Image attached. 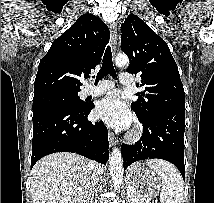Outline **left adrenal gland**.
Instances as JSON below:
<instances>
[{
    "mask_svg": "<svg viewBox=\"0 0 214 203\" xmlns=\"http://www.w3.org/2000/svg\"><path fill=\"white\" fill-rule=\"evenodd\" d=\"M128 202L130 203V199H129V196H128Z\"/></svg>",
    "mask_w": 214,
    "mask_h": 203,
    "instance_id": "1",
    "label": "left adrenal gland"
}]
</instances>
